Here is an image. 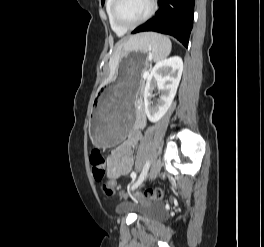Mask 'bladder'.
Here are the masks:
<instances>
[{"mask_svg": "<svg viewBox=\"0 0 264 247\" xmlns=\"http://www.w3.org/2000/svg\"><path fill=\"white\" fill-rule=\"evenodd\" d=\"M120 209L127 210H136L139 215L143 218H158L162 215V211L155 204H144L135 206L131 203L124 202L120 204Z\"/></svg>", "mask_w": 264, "mask_h": 247, "instance_id": "bladder-1", "label": "bladder"}]
</instances>
